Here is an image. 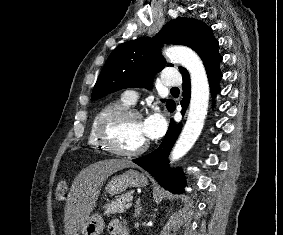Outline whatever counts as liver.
Wrapping results in <instances>:
<instances>
[{
	"label": "liver",
	"mask_w": 283,
	"mask_h": 235,
	"mask_svg": "<svg viewBox=\"0 0 283 235\" xmlns=\"http://www.w3.org/2000/svg\"><path fill=\"white\" fill-rule=\"evenodd\" d=\"M129 167H135L129 160H103L91 164L76 176L65 205L64 227L66 235H79L98 200L105 180L111 174Z\"/></svg>",
	"instance_id": "obj_1"
}]
</instances>
